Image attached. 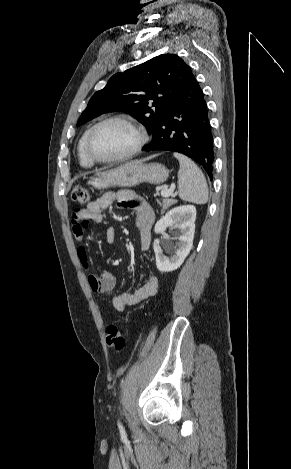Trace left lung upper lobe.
I'll use <instances>...</instances> for the list:
<instances>
[{"mask_svg":"<svg viewBox=\"0 0 291 469\" xmlns=\"http://www.w3.org/2000/svg\"><path fill=\"white\" fill-rule=\"evenodd\" d=\"M191 75L190 67L175 54H162L117 73L91 97L77 126L103 113L122 110L130 111L154 134L168 105Z\"/></svg>","mask_w":291,"mask_h":469,"instance_id":"1","label":"left lung upper lobe"}]
</instances>
